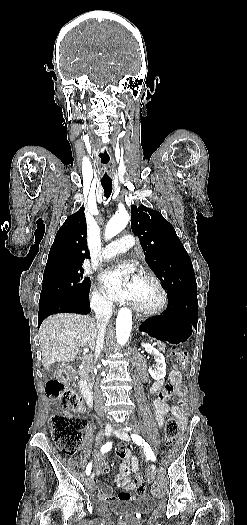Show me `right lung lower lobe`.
<instances>
[{"label": "right lung lower lobe", "mask_w": 247, "mask_h": 525, "mask_svg": "<svg viewBox=\"0 0 247 525\" xmlns=\"http://www.w3.org/2000/svg\"><path fill=\"white\" fill-rule=\"evenodd\" d=\"M90 305L88 295L83 299H57L47 302L40 306L38 312V326L42 321L49 315L66 312V313H78L87 314L90 312Z\"/></svg>", "instance_id": "98d812e1"}]
</instances>
